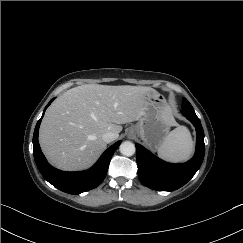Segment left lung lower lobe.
I'll return each instance as SVG.
<instances>
[{"label":"left lung lower lobe","mask_w":243,"mask_h":243,"mask_svg":"<svg viewBox=\"0 0 243 243\" xmlns=\"http://www.w3.org/2000/svg\"><path fill=\"white\" fill-rule=\"evenodd\" d=\"M183 115L196 128V151L191 160L183 164H170L151 154L139 144L136 146L138 176L141 183L153 190L173 191L185 185L200 168L204 154V132L194 111L183 109Z\"/></svg>","instance_id":"1"}]
</instances>
